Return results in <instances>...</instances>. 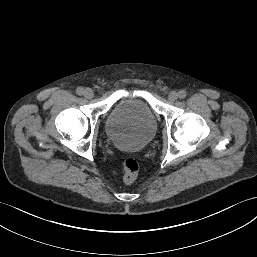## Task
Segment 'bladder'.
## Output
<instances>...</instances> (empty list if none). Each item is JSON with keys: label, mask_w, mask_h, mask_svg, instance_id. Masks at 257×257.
<instances>
[{"label": "bladder", "mask_w": 257, "mask_h": 257, "mask_svg": "<svg viewBox=\"0 0 257 257\" xmlns=\"http://www.w3.org/2000/svg\"><path fill=\"white\" fill-rule=\"evenodd\" d=\"M156 134L155 116L143 98H123L111 108L106 120V135L116 147L140 150L149 145Z\"/></svg>", "instance_id": "1"}]
</instances>
